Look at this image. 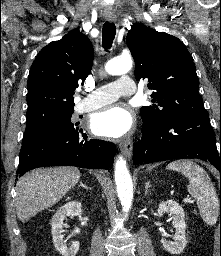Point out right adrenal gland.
Listing matches in <instances>:
<instances>
[{"label":"right adrenal gland","mask_w":221,"mask_h":256,"mask_svg":"<svg viewBox=\"0 0 221 256\" xmlns=\"http://www.w3.org/2000/svg\"><path fill=\"white\" fill-rule=\"evenodd\" d=\"M79 187H83V188H85V189H88V187H87L85 184H83L82 181H80Z\"/></svg>","instance_id":"right-adrenal-gland-1"}]
</instances>
